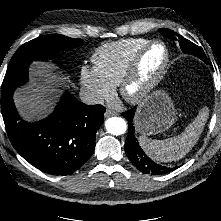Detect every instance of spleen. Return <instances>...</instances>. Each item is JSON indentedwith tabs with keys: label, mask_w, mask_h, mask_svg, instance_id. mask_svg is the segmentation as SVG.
Instances as JSON below:
<instances>
[{
	"label": "spleen",
	"mask_w": 221,
	"mask_h": 221,
	"mask_svg": "<svg viewBox=\"0 0 221 221\" xmlns=\"http://www.w3.org/2000/svg\"><path fill=\"white\" fill-rule=\"evenodd\" d=\"M208 115L207 108H203L180 135L165 140H152L146 136H140L139 143L154 161H177L183 158L197 143L204 130Z\"/></svg>",
	"instance_id": "spleen-1"
}]
</instances>
